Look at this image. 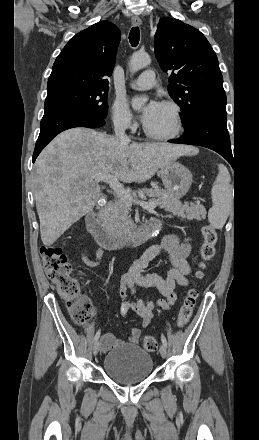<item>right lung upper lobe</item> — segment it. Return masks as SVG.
<instances>
[{
    "label": "right lung upper lobe",
    "mask_w": 259,
    "mask_h": 440,
    "mask_svg": "<svg viewBox=\"0 0 259 440\" xmlns=\"http://www.w3.org/2000/svg\"><path fill=\"white\" fill-rule=\"evenodd\" d=\"M120 31L108 21L76 34L56 58L48 79V94L70 88L108 89Z\"/></svg>",
    "instance_id": "cb5924a9"
}]
</instances>
